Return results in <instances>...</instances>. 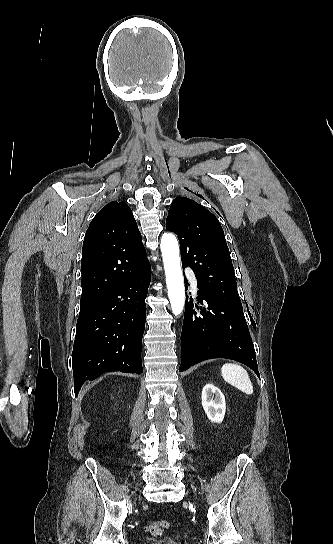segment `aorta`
Wrapping results in <instances>:
<instances>
[{
    "label": "aorta",
    "instance_id": "762f6f07",
    "mask_svg": "<svg viewBox=\"0 0 333 544\" xmlns=\"http://www.w3.org/2000/svg\"><path fill=\"white\" fill-rule=\"evenodd\" d=\"M160 247L171 309L174 315H179L183 311L185 304V288L178 241L174 235L164 234L161 238Z\"/></svg>",
    "mask_w": 333,
    "mask_h": 544
}]
</instances>
